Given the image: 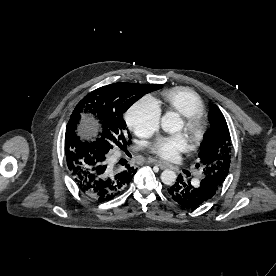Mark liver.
Returning <instances> with one entry per match:
<instances>
[{
  "instance_id": "1",
  "label": "liver",
  "mask_w": 276,
  "mask_h": 276,
  "mask_svg": "<svg viewBox=\"0 0 276 276\" xmlns=\"http://www.w3.org/2000/svg\"><path fill=\"white\" fill-rule=\"evenodd\" d=\"M79 134L86 137L90 133H94L93 125L90 119L83 118L78 128Z\"/></svg>"
}]
</instances>
